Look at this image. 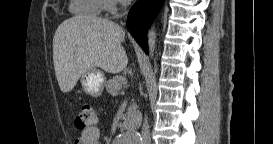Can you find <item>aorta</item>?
I'll return each instance as SVG.
<instances>
[{"instance_id": "1", "label": "aorta", "mask_w": 273, "mask_h": 144, "mask_svg": "<svg viewBox=\"0 0 273 144\" xmlns=\"http://www.w3.org/2000/svg\"><path fill=\"white\" fill-rule=\"evenodd\" d=\"M147 38L150 56L153 57L156 48V31L154 26H152L148 31ZM139 141H140L139 135L134 132L122 134L118 138L119 144H138Z\"/></svg>"}]
</instances>
